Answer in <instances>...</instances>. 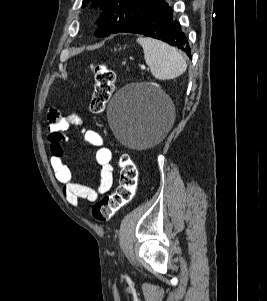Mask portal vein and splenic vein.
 I'll return each mask as SVG.
<instances>
[{"label": "portal vein and splenic vein", "instance_id": "1", "mask_svg": "<svg viewBox=\"0 0 267 301\" xmlns=\"http://www.w3.org/2000/svg\"><path fill=\"white\" fill-rule=\"evenodd\" d=\"M141 69H145V66L144 65H140Z\"/></svg>", "mask_w": 267, "mask_h": 301}]
</instances>
